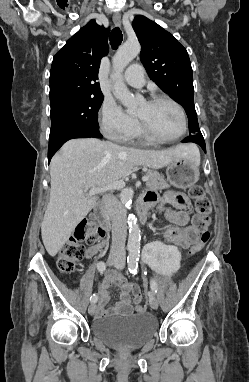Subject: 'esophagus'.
Listing matches in <instances>:
<instances>
[{"label":"esophagus","mask_w":249,"mask_h":382,"mask_svg":"<svg viewBox=\"0 0 249 382\" xmlns=\"http://www.w3.org/2000/svg\"><path fill=\"white\" fill-rule=\"evenodd\" d=\"M113 22L116 26L120 27L121 26V16L119 13H114L113 14Z\"/></svg>","instance_id":"esophagus-1"}]
</instances>
